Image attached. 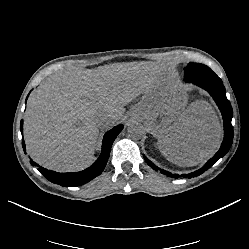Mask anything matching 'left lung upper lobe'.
<instances>
[{
	"label": "left lung upper lobe",
	"instance_id": "obj_1",
	"mask_svg": "<svg viewBox=\"0 0 249 249\" xmlns=\"http://www.w3.org/2000/svg\"><path fill=\"white\" fill-rule=\"evenodd\" d=\"M184 80L192 83L198 80L219 78L209 67L203 64L189 63L184 68Z\"/></svg>",
	"mask_w": 249,
	"mask_h": 249
}]
</instances>
